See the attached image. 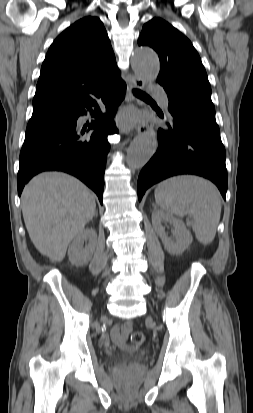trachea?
Here are the masks:
<instances>
[{
  "label": "trachea",
  "mask_w": 253,
  "mask_h": 413,
  "mask_svg": "<svg viewBox=\"0 0 253 413\" xmlns=\"http://www.w3.org/2000/svg\"><path fill=\"white\" fill-rule=\"evenodd\" d=\"M133 93H134L136 96H139V97H149V96L146 95L144 92H142L141 90H138V89H134V90H133Z\"/></svg>",
  "instance_id": "trachea-1"
}]
</instances>
